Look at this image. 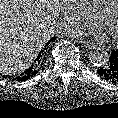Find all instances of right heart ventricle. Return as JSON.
I'll use <instances>...</instances> for the list:
<instances>
[{"instance_id": "1", "label": "right heart ventricle", "mask_w": 118, "mask_h": 118, "mask_svg": "<svg viewBox=\"0 0 118 118\" xmlns=\"http://www.w3.org/2000/svg\"><path fill=\"white\" fill-rule=\"evenodd\" d=\"M82 7L83 11L95 21H103L108 15L113 0H74Z\"/></svg>"}]
</instances>
